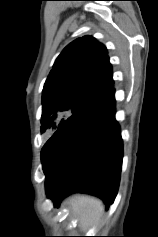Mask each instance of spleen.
<instances>
[{
	"instance_id": "1",
	"label": "spleen",
	"mask_w": 158,
	"mask_h": 237,
	"mask_svg": "<svg viewBox=\"0 0 158 237\" xmlns=\"http://www.w3.org/2000/svg\"><path fill=\"white\" fill-rule=\"evenodd\" d=\"M74 215L80 218V225L87 229L97 222L104 213L103 203L93 197L78 195L68 202Z\"/></svg>"
}]
</instances>
